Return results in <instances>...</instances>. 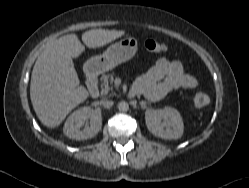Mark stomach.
Segmentation results:
<instances>
[{"instance_id": "stomach-1", "label": "stomach", "mask_w": 249, "mask_h": 188, "mask_svg": "<svg viewBox=\"0 0 249 188\" xmlns=\"http://www.w3.org/2000/svg\"><path fill=\"white\" fill-rule=\"evenodd\" d=\"M137 44V39L133 37L121 39L110 45L103 54L90 58L84 67L91 74H100L112 70L135 55Z\"/></svg>"}]
</instances>
